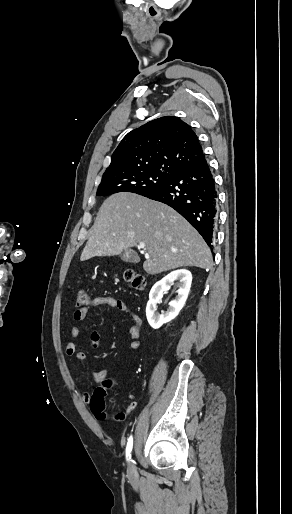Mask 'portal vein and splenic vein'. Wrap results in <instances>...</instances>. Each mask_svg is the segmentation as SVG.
<instances>
[{"mask_svg":"<svg viewBox=\"0 0 292 514\" xmlns=\"http://www.w3.org/2000/svg\"><path fill=\"white\" fill-rule=\"evenodd\" d=\"M139 248H145L144 244H140ZM172 252H177V250H172Z\"/></svg>","mask_w":292,"mask_h":514,"instance_id":"1","label":"portal vein and splenic vein"}]
</instances>
